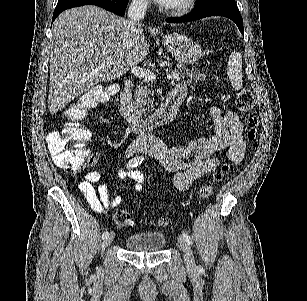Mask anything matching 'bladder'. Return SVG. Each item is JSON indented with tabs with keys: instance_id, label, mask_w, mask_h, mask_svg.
<instances>
[{
	"instance_id": "obj_1",
	"label": "bladder",
	"mask_w": 307,
	"mask_h": 301,
	"mask_svg": "<svg viewBox=\"0 0 307 301\" xmlns=\"http://www.w3.org/2000/svg\"><path fill=\"white\" fill-rule=\"evenodd\" d=\"M166 244V237L161 232L132 233L125 240V247L130 251H161Z\"/></svg>"
}]
</instances>
